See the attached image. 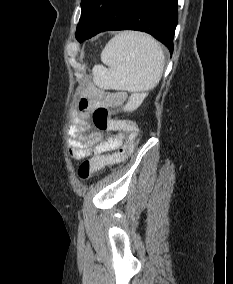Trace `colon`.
<instances>
[{
  "mask_svg": "<svg viewBox=\"0 0 233 284\" xmlns=\"http://www.w3.org/2000/svg\"><path fill=\"white\" fill-rule=\"evenodd\" d=\"M145 97V92H133L123 110L130 112L139 107ZM93 123L101 131L124 130L127 135L123 145L116 153L110 155H99L83 161L79 166V176L82 180H88L95 172L106 165L121 162L125 160L134 150L138 141V128L136 125H127L122 120H115L110 117L109 110L106 107H97L92 115Z\"/></svg>",
  "mask_w": 233,
  "mask_h": 284,
  "instance_id": "colon-1",
  "label": "colon"
}]
</instances>
